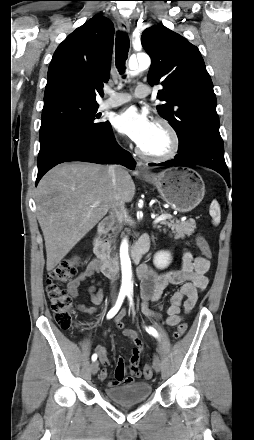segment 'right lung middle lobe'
Segmentation results:
<instances>
[{
  "mask_svg": "<svg viewBox=\"0 0 254 440\" xmlns=\"http://www.w3.org/2000/svg\"><path fill=\"white\" fill-rule=\"evenodd\" d=\"M98 107L97 102L72 97L57 98L44 104L38 162L59 144L100 135L107 122L98 120Z\"/></svg>",
  "mask_w": 254,
  "mask_h": 440,
  "instance_id": "1",
  "label": "right lung middle lobe"
}]
</instances>
